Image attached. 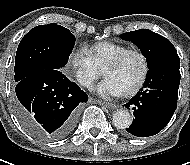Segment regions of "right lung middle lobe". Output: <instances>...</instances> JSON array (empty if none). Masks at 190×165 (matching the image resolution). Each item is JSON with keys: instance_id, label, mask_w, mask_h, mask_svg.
<instances>
[{"instance_id": "dd1d6c3e", "label": "right lung middle lobe", "mask_w": 190, "mask_h": 165, "mask_svg": "<svg viewBox=\"0 0 190 165\" xmlns=\"http://www.w3.org/2000/svg\"><path fill=\"white\" fill-rule=\"evenodd\" d=\"M75 36L56 23L39 25L21 40L15 58V82L44 69L65 66L72 52Z\"/></svg>"}]
</instances>
